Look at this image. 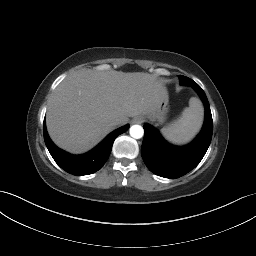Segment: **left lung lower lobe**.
I'll return each mask as SVG.
<instances>
[{"instance_id": "0a47b994", "label": "left lung lower lobe", "mask_w": 256, "mask_h": 256, "mask_svg": "<svg viewBox=\"0 0 256 256\" xmlns=\"http://www.w3.org/2000/svg\"><path fill=\"white\" fill-rule=\"evenodd\" d=\"M199 94L205 106V122L200 134L189 145L177 147L166 142L149 124L143 126L145 134L141 154L148 169L165 178H179L195 168L204 157L213 132V120L208 99L203 89L193 80H186Z\"/></svg>"}]
</instances>
